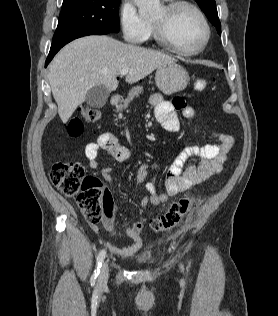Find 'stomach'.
Segmentation results:
<instances>
[{
	"mask_svg": "<svg viewBox=\"0 0 278 316\" xmlns=\"http://www.w3.org/2000/svg\"><path fill=\"white\" fill-rule=\"evenodd\" d=\"M189 80L188 72L176 61H169L160 65L155 74L157 87L167 95L184 90Z\"/></svg>",
	"mask_w": 278,
	"mask_h": 316,
	"instance_id": "stomach-1",
	"label": "stomach"
}]
</instances>
